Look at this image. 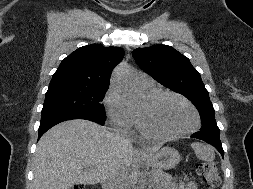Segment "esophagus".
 <instances>
[{
    "label": "esophagus",
    "mask_w": 253,
    "mask_h": 189,
    "mask_svg": "<svg viewBox=\"0 0 253 189\" xmlns=\"http://www.w3.org/2000/svg\"><path fill=\"white\" fill-rule=\"evenodd\" d=\"M138 154H143V151L141 149L137 150Z\"/></svg>",
    "instance_id": "1"
}]
</instances>
